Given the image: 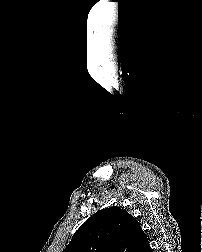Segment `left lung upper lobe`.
Instances as JSON below:
<instances>
[{
  "label": "left lung upper lobe",
  "mask_w": 202,
  "mask_h": 252,
  "mask_svg": "<svg viewBox=\"0 0 202 252\" xmlns=\"http://www.w3.org/2000/svg\"><path fill=\"white\" fill-rule=\"evenodd\" d=\"M140 223L127 211L105 208L91 216L63 252H134Z\"/></svg>",
  "instance_id": "5c2ea615"
}]
</instances>
